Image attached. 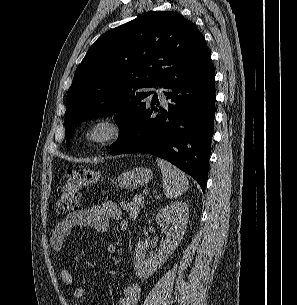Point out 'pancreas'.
Returning <instances> with one entry per match:
<instances>
[{
  "label": "pancreas",
  "mask_w": 297,
  "mask_h": 305,
  "mask_svg": "<svg viewBox=\"0 0 297 305\" xmlns=\"http://www.w3.org/2000/svg\"><path fill=\"white\" fill-rule=\"evenodd\" d=\"M144 198L141 195L134 196L132 202H129L123 206L124 210L129 214L132 220H135L140 212V206L142 205Z\"/></svg>",
  "instance_id": "pancreas-1"
}]
</instances>
